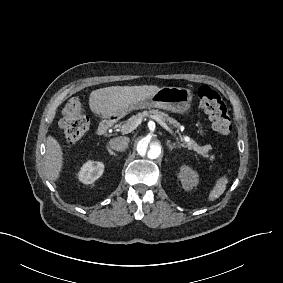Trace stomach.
<instances>
[{"mask_svg": "<svg viewBox=\"0 0 283 283\" xmlns=\"http://www.w3.org/2000/svg\"><path fill=\"white\" fill-rule=\"evenodd\" d=\"M194 92L186 87H162L152 97L132 106L129 110L158 108L181 115H189L193 109ZM128 110V111H129ZM128 111H124V116Z\"/></svg>", "mask_w": 283, "mask_h": 283, "instance_id": "0dacf381", "label": "stomach"}]
</instances>
